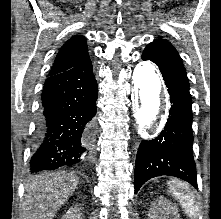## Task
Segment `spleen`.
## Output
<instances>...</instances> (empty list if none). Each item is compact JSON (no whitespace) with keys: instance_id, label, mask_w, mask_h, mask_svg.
Wrapping results in <instances>:
<instances>
[{"instance_id":"spleen-1","label":"spleen","mask_w":221,"mask_h":219,"mask_svg":"<svg viewBox=\"0 0 221 219\" xmlns=\"http://www.w3.org/2000/svg\"><path fill=\"white\" fill-rule=\"evenodd\" d=\"M170 191L177 198L185 211V213L194 219L199 212V208L196 205L194 194L189 190L186 183L177 180H171L168 182Z\"/></svg>"}]
</instances>
